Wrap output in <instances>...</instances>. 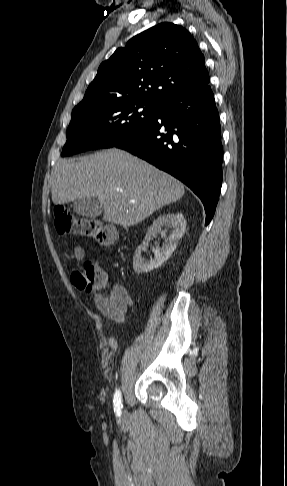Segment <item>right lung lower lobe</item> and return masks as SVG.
Here are the masks:
<instances>
[{
	"label": "right lung lower lobe",
	"instance_id": "right-lung-lower-lobe-1",
	"mask_svg": "<svg viewBox=\"0 0 287 486\" xmlns=\"http://www.w3.org/2000/svg\"><path fill=\"white\" fill-rule=\"evenodd\" d=\"M114 147L186 184L204 204L209 224L220 195L223 159L219 113L209 84L162 102L140 133Z\"/></svg>",
	"mask_w": 287,
	"mask_h": 486
}]
</instances>
